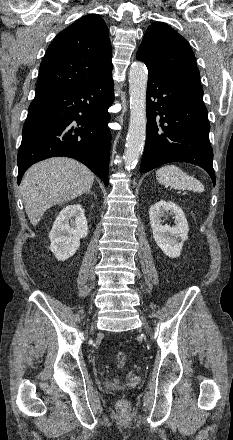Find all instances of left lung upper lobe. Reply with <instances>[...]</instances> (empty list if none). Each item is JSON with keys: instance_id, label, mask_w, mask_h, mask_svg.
<instances>
[{"instance_id": "obj_1", "label": "left lung upper lobe", "mask_w": 233, "mask_h": 440, "mask_svg": "<svg viewBox=\"0 0 233 440\" xmlns=\"http://www.w3.org/2000/svg\"><path fill=\"white\" fill-rule=\"evenodd\" d=\"M149 75L172 82H182L201 88L200 74L194 53L187 41L162 22L147 29L137 52Z\"/></svg>"}]
</instances>
